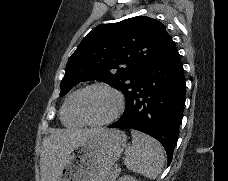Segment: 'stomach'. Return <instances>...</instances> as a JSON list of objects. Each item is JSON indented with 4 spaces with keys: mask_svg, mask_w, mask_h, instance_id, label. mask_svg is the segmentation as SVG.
<instances>
[{
    "mask_svg": "<svg viewBox=\"0 0 228 181\" xmlns=\"http://www.w3.org/2000/svg\"><path fill=\"white\" fill-rule=\"evenodd\" d=\"M126 141L125 133L116 129L90 133L69 153L61 181H109Z\"/></svg>",
    "mask_w": 228,
    "mask_h": 181,
    "instance_id": "1",
    "label": "stomach"
}]
</instances>
